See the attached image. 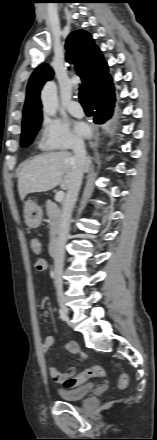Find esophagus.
I'll return each mask as SVG.
<instances>
[{"mask_svg": "<svg viewBox=\"0 0 157 440\" xmlns=\"http://www.w3.org/2000/svg\"><path fill=\"white\" fill-rule=\"evenodd\" d=\"M92 130H93V133H92V137L89 140V144L91 147H95L97 145L99 133H98L97 128L94 125H92Z\"/></svg>", "mask_w": 157, "mask_h": 440, "instance_id": "esophagus-1", "label": "esophagus"}]
</instances>
